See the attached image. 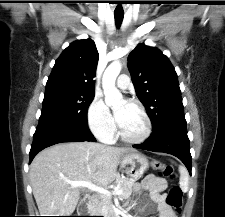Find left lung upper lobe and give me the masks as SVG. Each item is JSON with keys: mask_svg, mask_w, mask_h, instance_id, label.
Returning a JSON list of instances; mask_svg holds the SVG:
<instances>
[{"mask_svg": "<svg viewBox=\"0 0 225 217\" xmlns=\"http://www.w3.org/2000/svg\"><path fill=\"white\" fill-rule=\"evenodd\" d=\"M128 68L153 130L185 120L177 74L161 51L145 44L137 45L128 56Z\"/></svg>", "mask_w": 225, "mask_h": 217, "instance_id": "left-lung-upper-lobe-1", "label": "left lung upper lobe"}]
</instances>
